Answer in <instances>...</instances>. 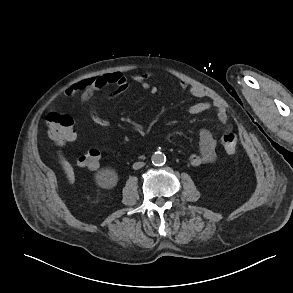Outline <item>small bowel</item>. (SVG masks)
<instances>
[{"mask_svg":"<svg viewBox=\"0 0 293 293\" xmlns=\"http://www.w3.org/2000/svg\"><path fill=\"white\" fill-rule=\"evenodd\" d=\"M150 75H137L134 77V81L138 83L141 88L149 90L151 94L157 93V88L151 86L148 82ZM129 87L128 79L119 72H111L86 78L78 82L77 84L66 89L65 94L67 96H73L79 93V99L81 102L88 101L96 91L107 90L106 98L114 99L121 95ZM179 87L182 90H188L193 96L203 98L206 96V92L197 85H190L184 80L179 81ZM215 109L217 118L220 123L225 124L228 116L225 107L221 105H214L210 102H198L191 105L188 109L190 115H198L203 112ZM91 120L94 124L107 127L110 125V121L102 117L97 111H93L91 114ZM216 139L208 129H202L199 132V151L192 154L189 157V162L193 166H199L203 164H209L216 160Z\"/></svg>","mask_w":293,"mask_h":293,"instance_id":"small-bowel-1","label":"small bowel"}]
</instances>
